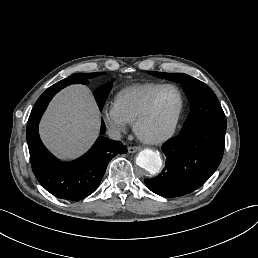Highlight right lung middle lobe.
<instances>
[{
	"instance_id": "1",
	"label": "right lung middle lobe",
	"mask_w": 258,
	"mask_h": 258,
	"mask_svg": "<svg viewBox=\"0 0 258 258\" xmlns=\"http://www.w3.org/2000/svg\"><path fill=\"white\" fill-rule=\"evenodd\" d=\"M103 73H76V76L82 77V78H87V79H91L94 78L96 76H99ZM112 87V83H108L106 85L101 86L100 88H98L95 93V99L97 101V104L99 106L100 111H102L103 106L105 104V101L109 95V92L111 90Z\"/></svg>"
}]
</instances>
